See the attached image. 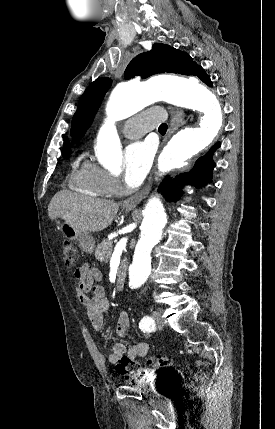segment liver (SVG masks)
Segmentation results:
<instances>
[{"mask_svg":"<svg viewBox=\"0 0 275 429\" xmlns=\"http://www.w3.org/2000/svg\"><path fill=\"white\" fill-rule=\"evenodd\" d=\"M119 204L83 196L69 190L57 192L48 205L51 220L61 218L86 232H99L107 228L118 212Z\"/></svg>","mask_w":275,"mask_h":429,"instance_id":"6515ba94","label":"liver"}]
</instances>
